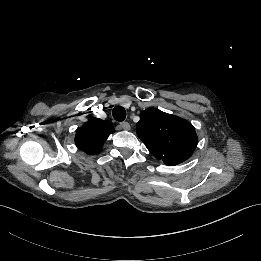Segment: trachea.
Here are the masks:
<instances>
[{"mask_svg": "<svg viewBox=\"0 0 261 261\" xmlns=\"http://www.w3.org/2000/svg\"><path fill=\"white\" fill-rule=\"evenodd\" d=\"M113 118L119 122L126 118V110L122 106H116L112 111Z\"/></svg>", "mask_w": 261, "mask_h": 261, "instance_id": "3493384b", "label": "trachea"}]
</instances>
